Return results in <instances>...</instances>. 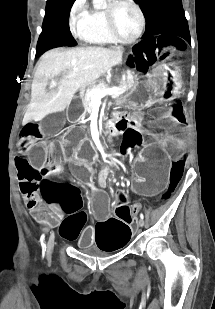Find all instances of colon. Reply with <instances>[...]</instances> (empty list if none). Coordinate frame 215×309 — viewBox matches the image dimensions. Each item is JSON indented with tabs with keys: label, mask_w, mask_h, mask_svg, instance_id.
I'll list each match as a JSON object with an SVG mask.
<instances>
[{
	"label": "colon",
	"mask_w": 215,
	"mask_h": 309,
	"mask_svg": "<svg viewBox=\"0 0 215 309\" xmlns=\"http://www.w3.org/2000/svg\"><path fill=\"white\" fill-rule=\"evenodd\" d=\"M45 159L47 160V164H50L53 162L54 158L52 156H46ZM83 218L82 216L80 215L78 218H77V221L78 222H82Z\"/></svg>",
	"instance_id": "colon-1"
}]
</instances>
